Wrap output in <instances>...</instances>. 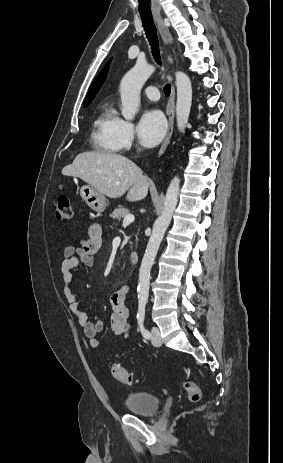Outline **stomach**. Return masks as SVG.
<instances>
[{
	"instance_id": "obj_1",
	"label": "stomach",
	"mask_w": 283,
	"mask_h": 463,
	"mask_svg": "<svg viewBox=\"0 0 283 463\" xmlns=\"http://www.w3.org/2000/svg\"><path fill=\"white\" fill-rule=\"evenodd\" d=\"M82 200L95 212H103L107 206V200L104 194L100 193L91 185H83L80 188Z\"/></svg>"
}]
</instances>
